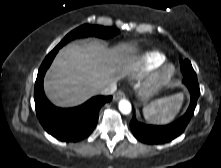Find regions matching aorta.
Returning a JSON list of instances; mask_svg holds the SVG:
<instances>
[{
    "mask_svg": "<svg viewBox=\"0 0 221 168\" xmlns=\"http://www.w3.org/2000/svg\"><path fill=\"white\" fill-rule=\"evenodd\" d=\"M119 110L122 114H125V115L129 114L132 110L131 103L126 99L120 100Z\"/></svg>",
    "mask_w": 221,
    "mask_h": 168,
    "instance_id": "obj_1",
    "label": "aorta"
}]
</instances>
